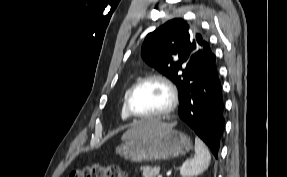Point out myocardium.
I'll use <instances>...</instances> for the list:
<instances>
[{"mask_svg": "<svg viewBox=\"0 0 287 177\" xmlns=\"http://www.w3.org/2000/svg\"><path fill=\"white\" fill-rule=\"evenodd\" d=\"M150 81H156L165 86L169 94V105L163 111L159 113L147 114V115L138 114L132 109V106H131L132 97L140 86ZM178 101H179L178 91L175 85L172 83V81L163 75L151 74V75L142 77L141 79H139L136 83L132 85L125 99V108L129 116L134 117L136 119H142V120L158 119V118H163L169 115L172 111H174V109L178 105Z\"/></svg>", "mask_w": 287, "mask_h": 177, "instance_id": "1", "label": "myocardium"}]
</instances>
